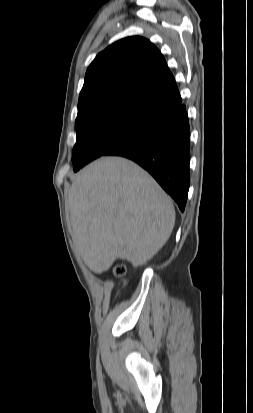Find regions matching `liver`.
I'll return each mask as SVG.
<instances>
[{"instance_id":"6515ba94","label":"liver","mask_w":253,"mask_h":413,"mask_svg":"<svg viewBox=\"0 0 253 413\" xmlns=\"http://www.w3.org/2000/svg\"><path fill=\"white\" fill-rule=\"evenodd\" d=\"M72 239L87 267L107 271L116 259L145 264L175 224L172 200L140 166L103 157L75 177L68 194Z\"/></svg>"}]
</instances>
